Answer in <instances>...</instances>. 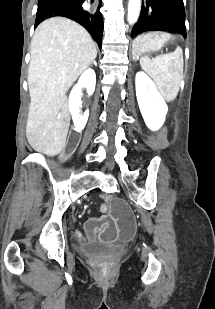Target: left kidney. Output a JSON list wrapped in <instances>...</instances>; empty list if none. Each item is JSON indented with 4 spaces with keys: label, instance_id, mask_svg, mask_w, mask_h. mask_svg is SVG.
I'll return each mask as SVG.
<instances>
[{
    "label": "left kidney",
    "instance_id": "1",
    "mask_svg": "<svg viewBox=\"0 0 215 309\" xmlns=\"http://www.w3.org/2000/svg\"><path fill=\"white\" fill-rule=\"evenodd\" d=\"M136 96L140 112L150 130H158L165 122L168 106L159 94L151 78L139 70L135 76ZM140 86H143V92H140Z\"/></svg>",
    "mask_w": 215,
    "mask_h": 309
}]
</instances>
